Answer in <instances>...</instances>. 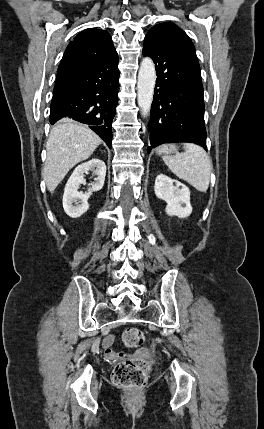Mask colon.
Masks as SVG:
<instances>
[{
	"mask_svg": "<svg viewBox=\"0 0 264 429\" xmlns=\"http://www.w3.org/2000/svg\"><path fill=\"white\" fill-rule=\"evenodd\" d=\"M122 340L126 347L137 348L143 344L144 334L140 329L130 327L123 332ZM149 369L150 364L143 355L124 357L115 365L111 379L118 387L140 389L146 384Z\"/></svg>",
	"mask_w": 264,
	"mask_h": 429,
	"instance_id": "5ec220e1",
	"label": "colon"
}]
</instances>
